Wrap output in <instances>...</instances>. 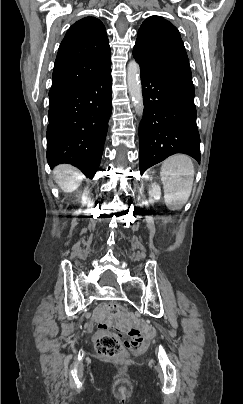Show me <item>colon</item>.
<instances>
[{
    "label": "colon",
    "mask_w": 243,
    "mask_h": 404,
    "mask_svg": "<svg viewBox=\"0 0 243 404\" xmlns=\"http://www.w3.org/2000/svg\"><path fill=\"white\" fill-rule=\"evenodd\" d=\"M107 312L116 316L124 312L123 307L117 303H110ZM148 344L147 338L137 327H130L121 333L101 332L96 337V348L104 357H116L125 350L132 352L143 351Z\"/></svg>",
    "instance_id": "colon-1"
}]
</instances>
